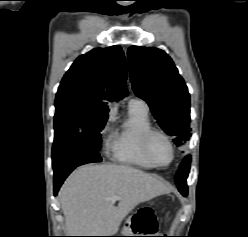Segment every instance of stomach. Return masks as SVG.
Instances as JSON below:
<instances>
[{"mask_svg": "<svg viewBox=\"0 0 248 237\" xmlns=\"http://www.w3.org/2000/svg\"><path fill=\"white\" fill-rule=\"evenodd\" d=\"M127 229H128V235H125V236H136L135 233H137V232H135V231H134L133 229H131L130 227H128Z\"/></svg>", "mask_w": 248, "mask_h": 237, "instance_id": "obj_1", "label": "stomach"}]
</instances>
